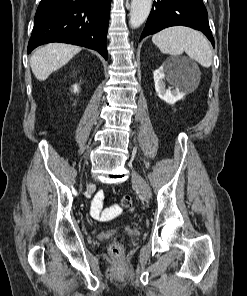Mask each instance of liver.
Masks as SVG:
<instances>
[{
	"instance_id": "obj_1",
	"label": "liver",
	"mask_w": 247,
	"mask_h": 296,
	"mask_svg": "<svg viewBox=\"0 0 247 296\" xmlns=\"http://www.w3.org/2000/svg\"><path fill=\"white\" fill-rule=\"evenodd\" d=\"M81 48L64 43H49L37 49L30 59L33 74L39 81L46 80L51 73L64 66Z\"/></svg>"
}]
</instances>
